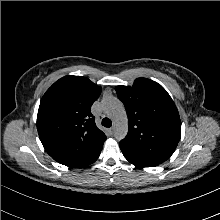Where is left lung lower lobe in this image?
<instances>
[{"instance_id": "obj_1", "label": "left lung lower lobe", "mask_w": 220, "mask_h": 220, "mask_svg": "<svg viewBox=\"0 0 220 220\" xmlns=\"http://www.w3.org/2000/svg\"><path fill=\"white\" fill-rule=\"evenodd\" d=\"M123 155L125 158L132 164L138 166V167H154L159 165L158 163H155L149 159L143 158L139 155H136L132 152H129L123 148H121Z\"/></svg>"}]
</instances>
